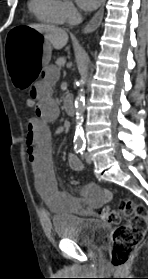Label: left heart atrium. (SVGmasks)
<instances>
[{
    "label": "left heart atrium",
    "instance_id": "39dd6f15",
    "mask_svg": "<svg viewBox=\"0 0 148 279\" xmlns=\"http://www.w3.org/2000/svg\"><path fill=\"white\" fill-rule=\"evenodd\" d=\"M102 0H77L78 5L87 11L95 9Z\"/></svg>",
    "mask_w": 148,
    "mask_h": 279
}]
</instances>
